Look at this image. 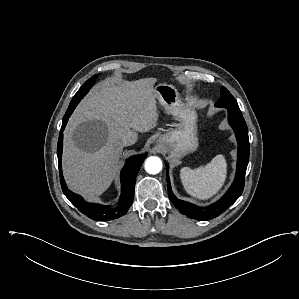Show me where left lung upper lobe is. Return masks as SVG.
<instances>
[{"mask_svg": "<svg viewBox=\"0 0 299 299\" xmlns=\"http://www.w3.org/2000/svg\"><path fill=\"white\" fill-rule=\"evenodd\" d=\"M215 106L235 109L237 111H240L234 97L230 94V92L225 87L221 88V97L215 103Z\"/></svg>", "mask_w": 299, "mask_h": 299, "instance_id": "left-lung-upper-lobe-1", "label": "left lung upper lobe"}]
</instances>
